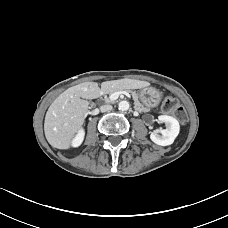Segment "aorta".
<instances>
[{
  "instance_id": "obj_1",
  "label": "aorta",
  "mask_w": 228,
  "mask_h": 228,
  "mask_svg": "<svg viewBox=\"0 0 228 228\" xmlns=\"http://www.w3.org/2000/svg\"><path fill=\"white\" fill-rule=\"evenodd\" d=\"M129 107H130L129 102L125 101V100L120 101L119 104H118V109L120 111H127L129 109Z\"/></svg>"
}]
</instances>
